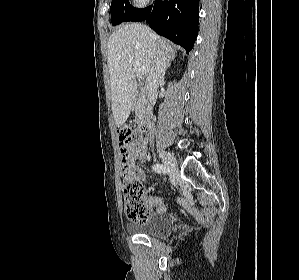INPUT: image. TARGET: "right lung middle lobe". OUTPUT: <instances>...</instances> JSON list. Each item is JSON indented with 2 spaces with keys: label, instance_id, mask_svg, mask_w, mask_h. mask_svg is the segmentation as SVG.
I'll return each mask as SVG.
<instances>
[{
  "label": "right lung middle lobe",
  "instance_id": "obj_1",
  "mask_svg": "<svg viewBox=\"0 0 299 280\" xmlns=\"http://www.w3.org/2000/svg\"><path fill=\"white\" fill-rule=\"evenodd\" d=\"M135 8L129 3L128 0H112L110 12L112 25H118L133 13Z\"/></svg>",
  "mask_w": 299,
  "mask_h": 280
}]
</instances>
